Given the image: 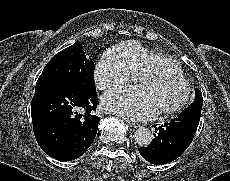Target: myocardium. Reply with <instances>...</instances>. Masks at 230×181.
Masks as SVG:
<instances>
[{
  "mask_svg": "<svg viewBox=\"0 0 230 181\" xmlns=\"http://www.w3.org/2000/svg\"><path fill=\"white\" fill-rule=\"evenodd\" d=\"M153 80L175 82L180 84L183 88L182 97L175 104L169 107L158 109L156 110V113L165 115L174 114L183 109L187 105L191 96V88L189 83L183 78V76L178 77L167 72H148L140 77L138 88H143L146 84Z\"/></svg>",
  "mask_w": 230,
  "mask_h": 181,
  "instance_id": "obj_1",
  "label": "myocardium"
}]
</instances>
